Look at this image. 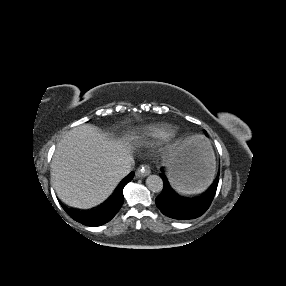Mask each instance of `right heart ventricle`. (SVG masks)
I'll list each match as a JSON object with an SVG mask.
<instances>
[{
  "instance_id": "1",
  "label": "right heart ventricle",
  "mask_w": 286,
  "mask_h": 286,
  "mask_svg": "<svg viewBox=\"0 0 286 286\" xmlns=\"http://www.w3.org/2000/svg\"><path fill=\"white\" fill-rule=\"evenodd\" d=\"M179 129L166 123H154L144 126L135 136L136 140L145 143L167 142L177 136Z\"/></svg>"
}]
</instances>
